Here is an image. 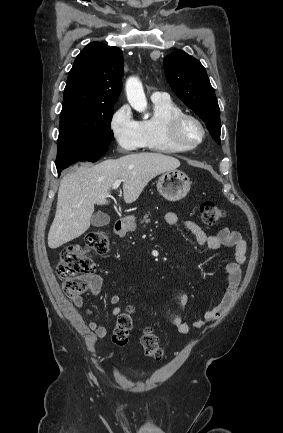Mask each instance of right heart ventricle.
<instances>
[{"label": "right heart ventricle", "mask_w": 283, "mask_h": 433, "mask_svg": "<svg viewBox=\"0 0 283 433\" xmlns=\"http://www.w3.org/2000/svg\"><path fill=\"white\" fill-rule=\"evenodd\" d=\"M152 109V117L141 122V129L146 144L157 146V151L159 152H178L169 141L168 127L171 119L184 111L169 98L153 101Z\"/></svg>", "instance_id": "obj_1"}]
</instances>
